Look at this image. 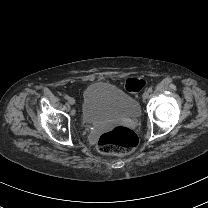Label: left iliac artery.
Masks as SVG:
<instances>
[{
  "mask_svg": "<svg viewBox=\"0 0 208 208\" xmlns=\"http://www.w3.org/2000/svg\"><path fill=\"white\" fill-rule=\"evenodd\" d=\"M152 91H153V89L150 87V88L148 89V92L151 93Z\"/></svg>",
  "mask_w": 208,
  "mask_h": 208,
  "instance_id": "44dca946",
  "label": "left iliac artery"
}]
</instances>
